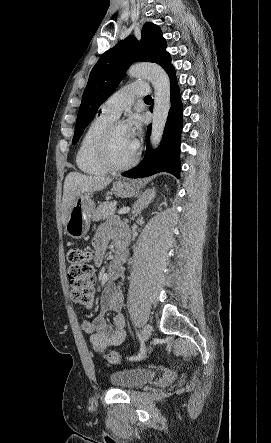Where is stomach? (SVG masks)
Here are the masks:
<instances>
[{"instance_id": "stomach-1", "label": "stomach", "mask_w": 271, "mask_h": 443, "mask_svg": "<svg viewBox=\"0 0 271 443\" xmlns=\"http://www.w3.org/2000/svg\"><path fill=\"white\" fill-rule=\"evenodd\" d=\"M137 182H114L112 186L113 194L118 198H131L137 192ZM94 204L89 194H81L77 196L72 208H70L67 216L65 229L68 235L81 239L86 235L90 227V218L93 212Z\"/></svg>"}]
</instances>
